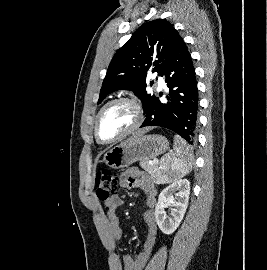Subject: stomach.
<instances>
[{"mask_svg":"<svg viewBox=\"0 0 267 270\" xmlns=\"http://www.w3.org/2000/svg\"><path fill=\"white\" fill-rule=\"evenodd\" d=\"M168 140L159 134H143L134 140L125 141L108 150L103 158L106 165L120 169L136 161H148L168 149Z\"/></svg>","mask_w":267,"mask_h":270,"instance_id":"0dacf381","label":"stomach"}]
</instances>
